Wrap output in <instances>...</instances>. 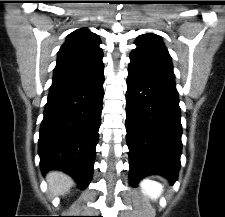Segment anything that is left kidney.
<instances>
[{"instance_id": "obj_1", "label": "left kidney", "mask_w": 225, "mask_h": 217, "mask_svg": "<svg viewBox=\"0 0 225 217\" xmlns=\"http://www.w3.org/2000/svg\"><path fill=\"white\" fill-rule=\"evenodd\" d=\"M144 194L148 195L151 199H156L163 191V186L158 182L145 179L140 183Z\"/></svg>"}]
</instances>
